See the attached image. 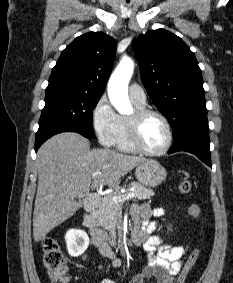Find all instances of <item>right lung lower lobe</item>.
Masks as SVG:
<instances>
[{
    "label": "right lung lower lobe",
    "mask_w": 233,
    "mask_h": 283,
    "mask_svg": "<svg viewBox=\"0 0 233 283\" xmlns=\"http://www.w3.org/2000/svg\"><path fill=\"white\" fill-rule=\"evenodd\" d=\"M61 132H77L81 135L85 136L86 138L91 139L92 134H90L87 131L81 130L79 128H75L70 125H53L49 126L47 128H44L43 130H38L36 133L35 138V151L37 152L38 148L50 137L53 135H56Z\"/></svg>",
    "instance_id": "obj_1"
}]
</instances>
